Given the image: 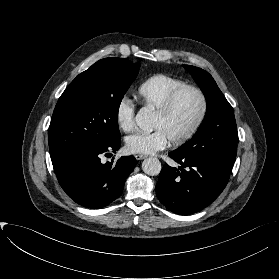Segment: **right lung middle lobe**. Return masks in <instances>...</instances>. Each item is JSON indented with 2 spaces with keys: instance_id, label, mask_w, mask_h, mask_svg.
<instances>
[{
  "instance_id": "obj_1",
  "label": "right lung middle lobe",
  "mask_w": 279,
  "mask_h": 279,
  "mask_svg": "<svg viewBox=\"0 0 279 279\" xmlns=\"http://www.w3.org/2000/svg\"><path fill=\"white\" fill-rule=\"evenodd\" d=\"M140 64L104 58L79 74L60 96L49 128L51 158L93 149L121 137L118 110Z\"/></svg>"
}]
</instances>
